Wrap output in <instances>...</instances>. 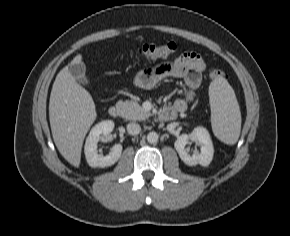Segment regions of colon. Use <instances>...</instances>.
I'll return each instance as SVG.
<instances>
[{
    "label": "colon",
    "mask_w": 290,
    "mask_h": 236,
    "mask_svg": "<svg viewBox=\"0 0 290 236\" xmlns=\"http://www.w3.org/2000/svg\"><path fill=\"white\" fill-rule=\"evenodd\" d=\"M176 50V45L173 42L165 44H145L139 48L138 54L145 60H155L171 56ZM213 80L224 78L225 73L220 69H213L209 74Z\"/></svg>",
    "instance_id": "1"
}]
</instances>
